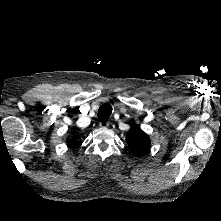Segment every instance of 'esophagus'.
<instances>
[{
    "instance_id": "obj_1",
    "label": "esophagus",
    "mask_w": 221,
    "mask_h": 221,
    "mask_svg": "<svg viewBox=\"0 0 221 221\" xmlns=\"http://www.w3.org/2000/svg\"><path fill=\"white\" fill-rule=\"evenodd\" d=\"M99 126L102 128H107L109 126V121H100Z\"/></svg>"
}]
</instances>
